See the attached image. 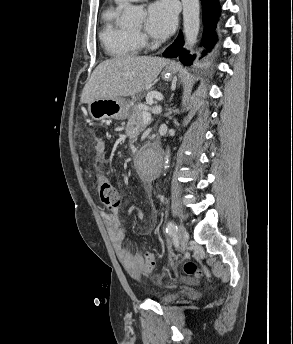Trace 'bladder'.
Returning a JSON list of instances; mask_svg holds the SVG:
<instances>
[{
	"instance_id": "obj_1",
	"label": "bladder",
	"mask_w": 293,
	"mask_h": 344,
	"mask_svg": "<svg viewBox=\"0 0 293 344\" xmlns=\"http://www.w3.org/2000/svg\"><path fill=\"white\" fill-rule=\"evenodd\" d=\"M179 299V295L176 293H165L157 297V301L163 305H169L176 302Z\"/></svg>"
}]
</instances>
